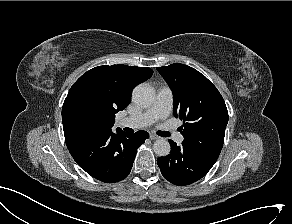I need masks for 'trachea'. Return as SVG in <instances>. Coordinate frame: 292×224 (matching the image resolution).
Masks as SVG:
<instances>
[{
	"label": "trachea",
	"instance_id": "1",
	"mask_svg": "<svg viewBox=\"0 0 292 224\" xmlns=\"http://www.w3.org/2000/svg\"><path fill=\"white\" fill-rule=\"evenodd\" d=\"M157 134L159 136H162V137H169L170 136V132H166V131H158Z\"/></svg>",
	"mask_w": 292,
	"mask_h": 224
}]
</instances>
